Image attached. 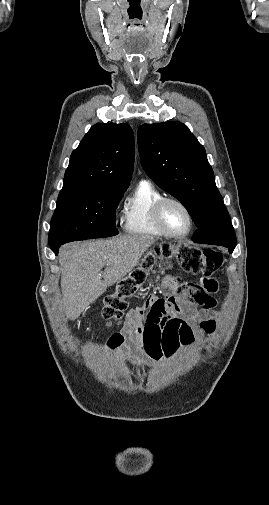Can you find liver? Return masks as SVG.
<instances>
[{
	"label": "liver",
	"instance_id": "1",
	"mask_svg": "<svg viewBox=\"0 0 269 505\" xmlns=\"http://www.w3.org/2000/svg\"><path fill=\"white\" fill-rule=\"evenodd\" d=\"M155 241L150 236L124 235L65 244L59 252V263L62 307L67 318L76 320L109 286L131 272Z\"/></svg>",
	"mask_w": 269,
	"mask_h": 505
}]
</instances>
